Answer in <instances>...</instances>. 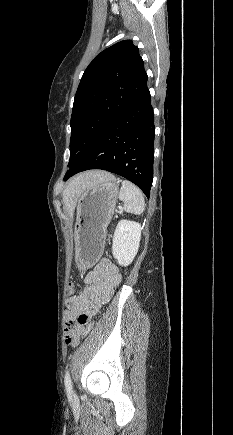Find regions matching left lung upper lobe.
<instances>
[{
  "label": "left lung upper lobe",
  "mask_w": 233,
  "mask_h": 435,
  "mask_svg": "<svg viewBox=\"0 0 233 435\" xmlns=\"http://www.w3.org/2000/svg\"><path fill=\"white\" fill-rule=\"evenodd\" d=\"M147 79L132 40L118 42L92 60L74 98L69 168L79 163L108 126L140 97Z\"/></svg>",
  "instance_id": "left-lung-upper-lobe-1"
}]
</instances>
